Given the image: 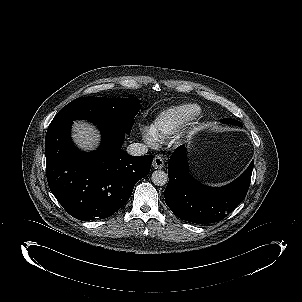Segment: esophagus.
I'll use <instances>...</instances> for the list:
<instances>
[{"label":"esophagus","mask_w":302,"mask_h":302,"mask_svg":"<svg viewBox=\"0 0 302 302\" xmlns=\"http://www.w3.org/2000/svg\"><path fill=\"white\" fill-rule=\"evenodd\" d=\"M152 166H153L155 169H161V168H163V166H164V160H163V158H162L161 156H159V155H156V156L154 157Z\"/></svg>","instance_id":"34e87169"}]
</instances>
